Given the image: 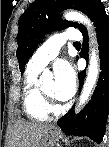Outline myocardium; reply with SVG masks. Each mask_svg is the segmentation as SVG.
Instances as JSON below:
<instances>
[{
    "instance_id": "1",
    "label": "myocardium",
    "mask_w": 109,
    "mask_h": 147,
    "mask_svg": "<svg viewBox=\"0 0 109 147\" xmlns=\"http://www.w3.org/2000/svg\"><path fill=\"white\" fill-rule=\"evenodd\" d=\"M39 91H40V93H41L47 107L50 108V109H53L54 104H55L53 96L46 93L42 88H39Z\"/></svg>"
}]
</instances>
